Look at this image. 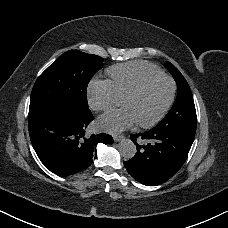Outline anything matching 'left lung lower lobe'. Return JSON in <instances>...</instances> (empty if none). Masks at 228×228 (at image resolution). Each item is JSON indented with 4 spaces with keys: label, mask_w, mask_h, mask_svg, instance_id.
I'll return each mask as SVG.
<instances>
[{
    "label": "left lung lower lobe",
    "mask_w": 228,
    "mask_h": 228,
    "mask_svg": "<svg viewBox=\"0 0 228 228\" xmlns=\"http://www.w3.org/2000/svg\"><path fill=\"white\" fill-rule=\"evenodd\" d=\"M135 156L124 162L128 173L138 182L156 186L170 179L184 164L195 137L187 129H153L131 134ZM143 144V145H142Z\"/></svg>",
    "instance_id": "1"
}]
</instances>
